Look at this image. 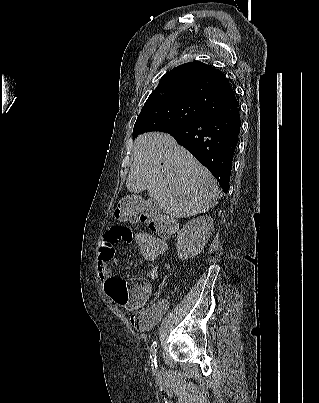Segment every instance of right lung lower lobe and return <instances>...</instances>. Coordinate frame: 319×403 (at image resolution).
<instances>
[{
	"label": "right lung lower lobe",
	"instance_id": "1",
	"mask_svg": "<svg viewBox=\"0 0 319 403\" xmlns=\"http://www.w3.org/2000/svg\"><path fill=\"white\" fill-rule=\"evenodd\" d=\"M238 106L210 112L189 124L159 130L172 135L178 144L191 152L209 169L226 192L229 187L232 161L240 132Z\"/></svg>",
	"mask_w": 319,
	"mask_h": 403
}]
</instances>
